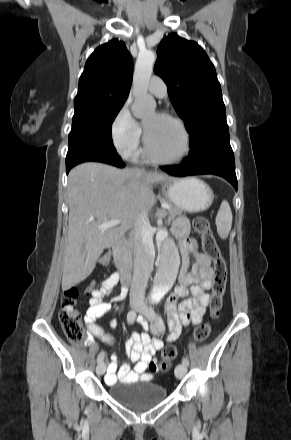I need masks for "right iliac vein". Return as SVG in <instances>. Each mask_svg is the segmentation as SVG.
I'll return each mask as SVG.
<instances>
[{"mask_svg": "<svg viewBox=\"0 0 291 440\" xmlns=\"http://www.w3.org/2000/svg\"><path fill=\"white\" fill-rule=\"evenodd\" d=\"M130 307L132 309H138L139 308V304L137 303V301L135 300H131L130 301ZM106 370V364L104 362H99L97 367H96V372L98 375H103L105 373Z\"/></svg>", "mask_w": 291, "mask_h": 440, "instance_id": "1", "label": "right iliac vein"}]
</instances>
